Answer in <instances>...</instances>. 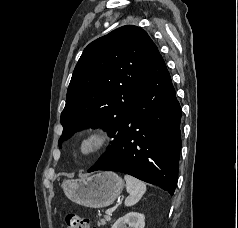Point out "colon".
<instances>
[{
    "label": "colon",
    "mask_w": 238,
    "mask_h": 228,
    "mask_svg": "<svg viewBox=\"0 0 238 228\" xmlns=\"http://www.w3.org/2000/svg\"><path fill=\"white\" fill-rule=\"evenodd\" d=\"M64 220L67 228H95L88 218L76 213L66 214Z\"/></svg>",
    "instance_id": "1"
}]
</instances>
